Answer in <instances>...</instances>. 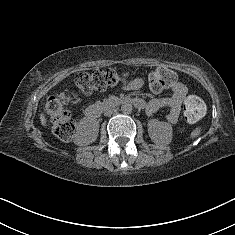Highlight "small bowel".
<instances>
[{
	"instance_id": "1",
	"label": "small bowel",
	"mask_w": 235,
	"mask_h": 235,
	"mask_svg": "<svg viewBox=\"0 0 235 235\" xmlns=\"http://www.w3.org/2000/svg\"><path fill=\"white\" fill-rule=\"evenodd\" d=\"M171 90V96L166 98H155L148 102H145L142 99L137 100L142 102V108L145 109L147 115H152L162 108H167L168 113L166 120L169 123H176L179 118L181 104L188 95V88L183 83L176 82Z\"/></svg>"
}]
</instances>
